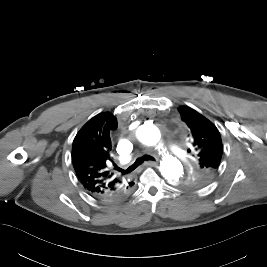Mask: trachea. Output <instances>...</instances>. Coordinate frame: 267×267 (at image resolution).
Returning a JSON list of instances; mask_svg holds the SVG:
<instances>
[{
    "label": "trachea",
    "instance_id": "1",
    "mask_svg": "<svg viewBox=\"0 0 267 267\" xmlns=\"http://www.w3.org/2000/svg\"><path fill=\"white\" fill-rule=\"evenodd\" d=\"M144 161H155L154 157L150 155H144L142 157H139L136 159L134 164H132L128 169L123 170L121 168H118V171H120L123 174H128L134 171L139 165H141Z\"/></svg>",
    "mask_w": 267,
    "mask_h": 267
}]
</instances>
